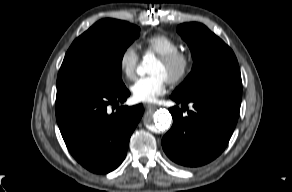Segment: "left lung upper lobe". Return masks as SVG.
I'll use <instances>...</instances> for the list:
<instances>
[{
  "mask_svg": "<svg viewBox=\"0 0 292 192\" xmlns=\"http://www.w3.org/2000/svg\"><path fill=\"white\" fill-rule=\"evenodd\" d=\"M177 32L190 47L194 63L172 95L187 98L208 92L242 93L239 65L228 45L200 23L181 24Z\"/></svg>",
  "mask_w": 292,
  "mask_h": 192,
  "instance_id": "5c2ea615",
  "label": "left lung upper lobe"
}]
</instances>
